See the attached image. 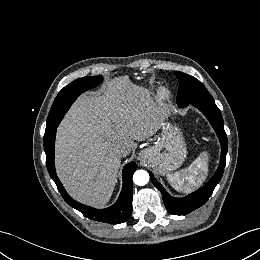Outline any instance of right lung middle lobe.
<instances>
[{
    "label": "right lung middle lobe",
    "mask_w": 260,
    "mask_h": 260,
    "mask_svg": "<svg viewBox=\"0 0 260 260\" xmlns=\"http://www.w3.org/2000/svg\"><path fill=\"white\" fill-rule=\"evenodd\" d=\"M101 81L102 77L100 76H88L77 79L71 84L64 87L54 101V104L50 111L47 121V132H52L56 129L62 117L80 93L99 85Z\"/></svg>",
    "instance_id": "1"
}]
</instances>
